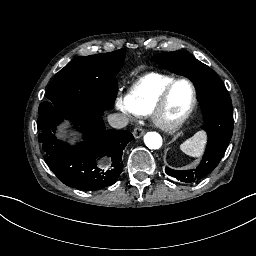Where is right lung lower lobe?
<instances>
[{"label": "right lung lower lobe", "mask_w": 256, "mask_h": 256, "mask_svg": "<svg viewBox=\"0 0 256 256\" xmlns=\"http://www.w3.org/2000/svg\"><path fill=\"white\" fill-rule=\"evenodd\" d=\"M99 108L75 107L37 121L44 160L54 174L67 186L94 191L115 183L122 171L125 146L134 139L124 130H106ZM64 119L73 121L84 133V142L71 147L52 134ZM111 157L112 170L101 171L96 158Z\"/></svg>", "instance_id": "right-lung-lower-lobe-1"}]
</instances>
